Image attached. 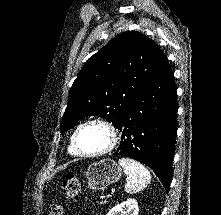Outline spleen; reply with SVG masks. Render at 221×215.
Instances as JSON below:
<instances>
[{
	"label": "spleen",
	"mask_w": 221,
	"mask_h": 215,
	"mask_svg": "<svg viewBox=\"0 0 221 215\" xmlns=\"http://www.w3.org/2000/svg\"><path fill=\"white\" fill-rule=\"evenodd\" d=\"M119 164L128 176V181L124 187L127 193L139 192L150 183V172L141 163L130 158H120Z\"/></svg>",
	"instance_id": "spleen-1"
}]
</instances>
